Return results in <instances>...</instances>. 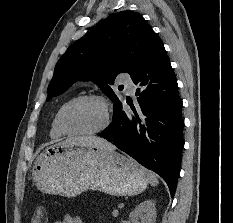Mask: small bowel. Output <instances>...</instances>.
Returning <instances> with one entry per match:
<instances>
[{"instance_id":"c3829d8e","label":"small bowel","mask_w":233,"mask_h":223,"mask_svg":"<svg viewBox=\"0 0 233 223\" xmlns=\"http://www.w3.org/2000/svg\"><path fill=\"white\" fill-rule=\"evenodd\" d=\"M55 223H83V221L77 215L66 214L62 219L55 221Z\"/></svg>"}]
</instances>
